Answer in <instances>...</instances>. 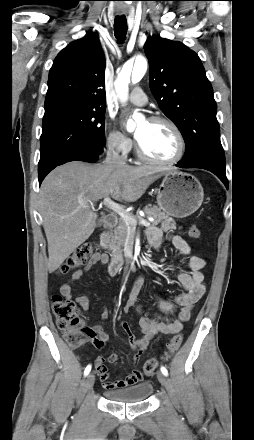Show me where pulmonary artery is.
<instances>
[{"label":"pulmonary artery","mask_w":254,"mask_h":440,"mask_svg":"<svg viewBox=\"0 0 254 440\" xmlns=\"http://www.w3.org/2000/svg\"><path fill=\"white\" fill-rule=\"evenodd\" d=\"M128 100L136 105H144L147 102V97L140 87H136L128 96Z\"/></svg>","instance_id":"obj_1"}]
</instances>
